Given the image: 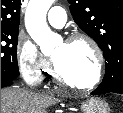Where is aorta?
<instances>
[{"label": "aorta", "mask_w": 123, "mask_h": 113, "mask_svg": "<svg viewBox=\"0 0 123 113\" xmlns=\"http://www.w3.org/2000/svg\"><path fill=\"white\" fill-rule=\"evenodd\" d=\"M54 0H30L25 13V26L31 38L39 45L45 55L54 51L60 40L47 25L46 15Z\"/></svg>", "instance_id": "762f6f07"}]
</instances>
